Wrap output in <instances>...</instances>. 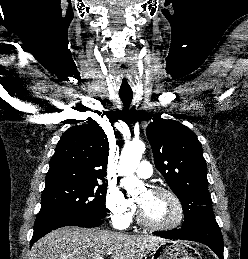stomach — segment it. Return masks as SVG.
<instances>
[{
	"label": "stomach",
	"instance_id": "1",
	"mask_svg": "<svg viewBox=\"0 0 248 259\" xmlns=\"http://www.w3.org/2000/svg\"><path fill=\"white\" fill-rule=\"evenodd\" d=\"M151 259H202L191 245L181 241H167L158 245L151 253Z\"/></svg>",
	"mask_w": 248,
	"mask_h": 259
}]
</instances>
